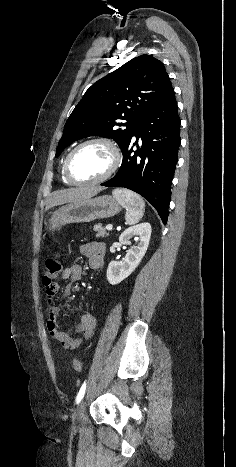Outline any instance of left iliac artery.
<instances>
[{"label": "left iliac artery", "instance_id": "obj_1", "mask_svg": "<svg viewBox=\"0 0 236 467\" xmlns=\"http://www.w3.org/2000/svg\"><path fill=\"white\" fill-rule=\"evenodd\" d=\"M85 390H86V381L82 384L78 394H77V397H76V404H79L81 402V400L83 399L84 397V394H85Z\"/></svg>", "mask_w": 236, "mask_h": 467}]
</instances>
